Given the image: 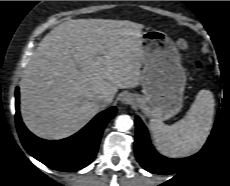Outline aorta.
<instances>
[{
	"mask_svg": "<svg viewBox=\"0 0 230 186\" xmlns=\"http://www.w3.org/2000/svg\"><path fill=\"white\" fill-rule=\"evenodd\" d=\"M132 124V119L128 115H120L115 120L116 128L118 129V131L122 132L128 131L131 128Z\"/></svg>",
	"mask_w": 230,
	"mask_h": 186,
	"instance_id": "762f6f07",
	"label": "aorta"
}]
</instances>
